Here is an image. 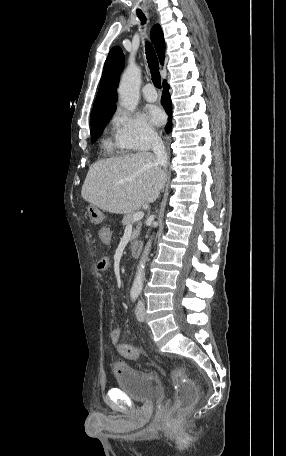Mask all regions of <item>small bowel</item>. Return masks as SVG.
Here are the masks:
<instances>
[{
    "label": "small bowel",
    "mask_w": 286,
    "mask_h": 456,
    "mask_svg": "<svg viewBox=\"0 0 286 456\" xmlns=\"http://www.w3.org/2000/svg\"><path fill=\"white\" fill-rule=\"evenodd\" d=\"M99 237L104 243H110L111 241V234L110 230L107 227H103L99 231ZM111 259L107 256L102 257L97 263V270L100 272H105L111 267ZM110 338L113 344L116 345L117 351L121 356H124L121 352V348L126 345L119 343L121 338V330L119 328H115L110 333ZM125 357V356H124Z\"/></svg>",
    "instance_id": "obj_1"
}]
</instances>
